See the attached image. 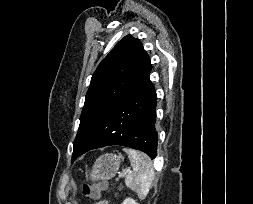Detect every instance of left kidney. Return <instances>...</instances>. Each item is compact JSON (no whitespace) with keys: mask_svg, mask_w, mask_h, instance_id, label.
Returning a JSON list of instances; mask_svg holds the SVG:
<instances>
[{"mask_svg":"<svg viewBox=\"0 0 253 204\" xmlns=\"http://www.w3.org/2000/svg\"><path fill=\"white\" fill-rule=\"evenodd\" d=\"M122 204H139L132 198H126Z\"/></svg>","mask_w":253,"mask_h":204,"instance_id":"obj_1","label":"left kidney"}]
</instances>
